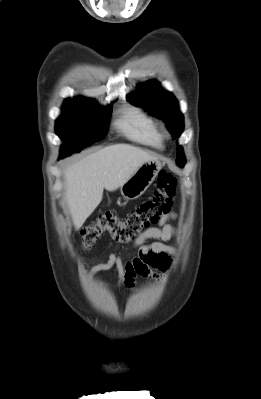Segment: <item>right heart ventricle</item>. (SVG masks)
I'll use <instances>...</instances> for the list:
<instances>
[{"instance_id": "e07e8e85", "label": "right heart ventricle", "mask_w": 261, "mask_h": 399, "mask_svg": "<svg viewBox=\"0 0 261 399\" xmlns=\"http://www.w3.org/2000/svg\"><path fill=\"white\" fill-rule=\"evenodd\" d=\"M116 127L129 140L152 148H161L162 134L157 123L143 110L127 108Z\"/></svg>"}]
</instances>
